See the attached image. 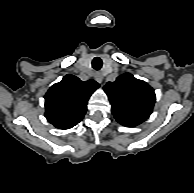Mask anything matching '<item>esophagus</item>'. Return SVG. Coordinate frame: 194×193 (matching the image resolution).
Instances as JSON below:
<instances>
[{"mask_svg": "<svg viewBox=\"0 0 194 193\" xmlns=\"http://www.w3.org/2000/svg\"><path fill=\"white\" fill-rule=\"evenodd\" d=\"M94 78H95V80H96L98 83H101V82L103 81V76H102V74L99 73V72L95 73Z\"/></svg>", "mask_w": 194, "mask_h": 193, "instance_id": "1", "label": "esophagus"}]
</instances>
